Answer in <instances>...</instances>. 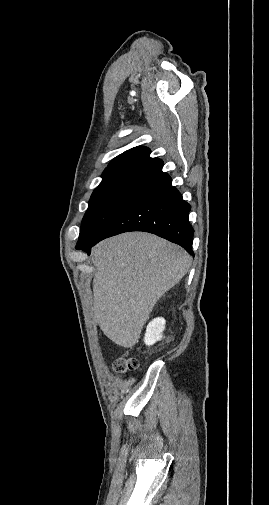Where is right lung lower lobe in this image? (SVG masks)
Here are the masks:
<instances>
[{
    "mask_svg": "<svg viewBox=\"0 0 269 505\" xmlns=\"http://www.w3.org/2000/svg\"><path fill=\"white\" fill-rule=\"evenodd\" d=\"M162 173L136 193L118 210L99 236L81 249L88 253L99 241L123 232L144 231L156 234L192 251L194 229L189 222L191 206Z\"/></svg>",
    "mask_w": 269,
    "mask_h": 505,
    "instance_id": "obj_1",
    "label": "right lung lower lobe"
}]
</instances>
